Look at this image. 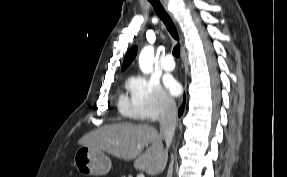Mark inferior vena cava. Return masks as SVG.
Here are the masks:
<instances>
[{
  "label": "inferior vena cava",
  "mask_w": 287,
  "mask_h": 177,
  "mask_svg": "<svg viewBox=\"0 0 287 177\" xmlns=\"http://www.w3.org/2000/svg\"><path fill=\"white\" fill-rule=\"evenodd\" d=\"M177 122V107L175 101L171 98H165L160 113V135L166 142V150L163 156L165 161L168 157V148L171 145Z\"/></svg>",
  "instance_id": "1"
}]
</instances>
